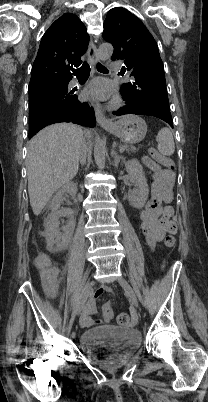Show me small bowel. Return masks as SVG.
<instances>
[{
	"label": "small bowel",
	"instance_id": "1",
	"mask_svg": "<svg viewBox=\"0 0 208 402\" xmlns=\"http://www.w3.org/2000/svg\"><path fill=\"white\" fill-rule=\"evenodd\" d=\"M143 163L152 171L153 183L151 188V200L139 213V221L141 230L148 244L154 246L166 235H173L177 232V226L172 220L173 208L170 206L174 173L164 168L159 162L148 157L143 158ZM103 289L107 292L111 291L108 286H104ZM103 295L104 292L102 289H95L93 292V298L96 301L101 300ZM47 296L53 299L56 295ZM93 310L94 301L91 299L86 304L82 321L79 324L81 330H88L91 323H105L113 316L109 303L104 304L102 311L103 317L100 320L92 319ZM62 327L64 330H71L73 324L71 321H64Z\"/></svg>",
	"mask_w": 208,
	"mask_h": 402
}]
</instances>
